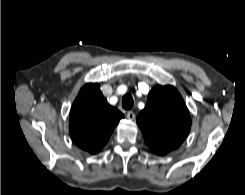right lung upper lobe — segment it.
I'll return each mask as SVG.
<instances>
[{
    "mask_svg": "<svg viewBox=\"0 0 245 195\" xmlns=\"http://www.w3.org/2000/svg\"><path fill=\"white\" fill-rule=\"evenodd\" d=\"M124 115L110 106L98 83H88L79 92L69 116V131L74 143L92 154L108 142Z\"/></svg>",
    "mask_w": 245,
    "mask_h": 195,
    "instance_id": "cb5924a9",
    "label": "right lung upper lobe"
}]
</instances>
